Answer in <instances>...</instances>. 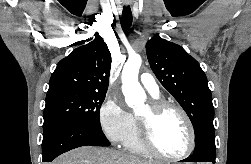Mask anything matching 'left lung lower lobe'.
<instances>
[{
  "instance_id": "left-lung-lower-lobe-1",
  "label": "left lung lower lobe",
  "mask_w": 251,
  "mask_h": 164,
  "mask_svg": "<svg viewBox=\"0 0 251 164\" xmlns=\"http://www.w3.org/2000/svg\"><path fill=\"white\" fill-rule=\"evenodd\" d=\"M185 162H212L215 164V146H212L208 139H202L195 144L192 156Z\"/></svg>"
}]
</instances>
